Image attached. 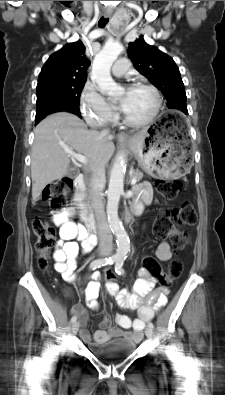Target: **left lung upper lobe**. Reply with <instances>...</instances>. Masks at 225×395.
I'll use <instances>...</instances> for the list:
<instances>
[{"label": "left lung upper lobe", "mask_w": 225, "mask_h": 395, "mask_svg": "<svg viewBox=\"0 0 225 395\" xmlns=\"http://www.w3.org/2000/svg\"><path fill=\"white\" fill-rule=\"evenodd\" d=\"M128 56L137 71L164 94L170 109L188 114L186 93L174 60L158 48L148 45L143 36L129 43Z\"/></svg>", "instance_id": "5c2ea615"}]
</instances>
